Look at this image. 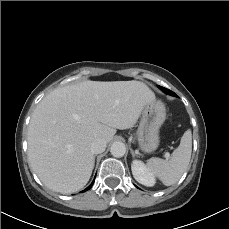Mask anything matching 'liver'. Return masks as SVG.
Wrapping results in <instances>:
<instances>
[{"label": "liver", "instance_id": "obj_1", "mask_svg": "<svg viewBox=\"0 0 229 229\" xmlns=\"http://www.w3.org/2000/svg\"><path fill=\"white\" fill-rule=\"evenodd\" d=\"M154 100L153 91L135 80H87L53 90L37 105L29 124L32 170L53 191L82 189L94 168L92 141L109 142L116 129L133 127Z\"/></svg>", "mask_w": 229, "mask_h": 229}]
</instances>
